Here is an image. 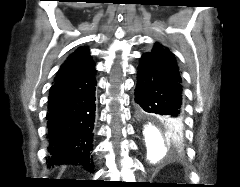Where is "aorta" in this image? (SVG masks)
Segmentation results:
<instances>
[{
    "label": "aorta",
    "instance_id": "obj_1",
    "mask_svg": "<svg viewBox=\"0 0 240 187\" xmlns=\"http://www.w3.org/2000/svg\"><path fill=\"white\" fill-rule=\"evenodd\" d=\"M143 136L147 147V160L155 163L163 158L167 144L161 131L155 125L147 123L143 128Z\"/></svg>",
    "mask_w": 240,
    "mask_h": 187
}]
</instances>
